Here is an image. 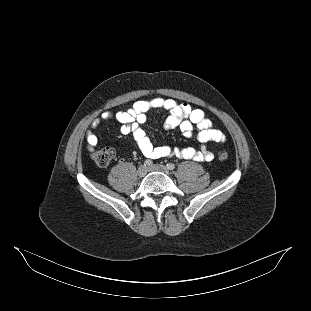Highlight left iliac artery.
I'll use <instances>...</instances> for the list:
<instances>
[{
  "label": "left iliac artery",
  "mask_w": 311,
  "mask_h": 311,
  "mask_svg": "<svg viewBox=\"0 0 311 311\" xmlns=\"http://www.w3.org/2000/svg\"><path fill=\"white\" fill-rule=\"evenodd\" d=\"M166 166H167V168L169 170H174L175 169V165L173 163H168Z\"/></svg>",
  "instance_id": "1"
}]
</instances>
